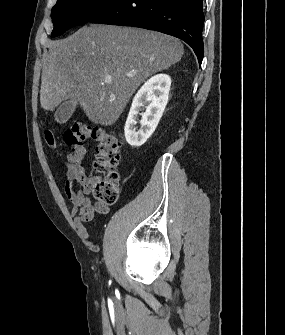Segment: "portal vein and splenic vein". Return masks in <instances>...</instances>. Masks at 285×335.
<instances>
[{
    "instance_id": "portal-vein-and-splenic-vein-1",
    "label": "portal vein and splenic vein",
    "mask_w": 285,
    "mask_h": 335,
    "mask_svg": "<svg viewBox=\"0 0 285 335\" xmlns=\"http://www.w3.org/2000/svg\"><path fill=\"white\" fill-rule=\"evenodd\" d=\"M128 78H133L132 74H127ZM103 82H107V84H109V82H112V78L111 76H105Z\"/></svg>"
}]
</instances>
